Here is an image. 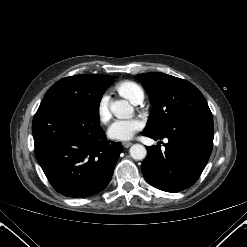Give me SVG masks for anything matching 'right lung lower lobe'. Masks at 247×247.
<instances>
[{"label": "right lung lower lobe", "instance_id": "98d812e1", "mask_svg": "<svg viewBox=\"0 0 247 247\" xmlns=\"http://www.w3.org/2000/svg\"><path fill=\"white\" fill-rule=\"evenodd\" d=\"M35 156L53 188L84 198L110 182L122 152L99 124V112L64 101L41 102L32 124Z\"/></svg>", "mask_w": 247, "mask_h": 247}]
</instances>
